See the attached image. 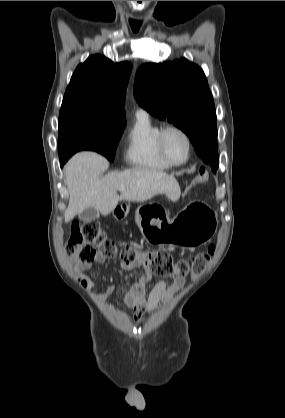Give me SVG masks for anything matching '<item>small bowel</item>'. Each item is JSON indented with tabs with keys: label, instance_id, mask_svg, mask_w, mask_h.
<instances>
[{
	"label": "small bowel",
	"instance_id": "1",
	"mask_svg": "<svg viewBox=\"0 0 285 418\" xmlns=\"http://www.w3.org/2000/svg\"><path fill=\"white\" fill-rule=\"evenodd\" d=\"M106 261L105 254L98 253L95 258L96 264H103ZM68 262L72 269L80 274L85 275L92 269V265H83L78 262L77 259L69 257ZM120 266L129 272L139 269L140 272L136 281L130 286L124 288L121 292L123 302L125 306L132 310L134 321L140 320L144 314H149L155 311L159 302L169 299L176 292H178L185 284L186 279L184 277H178L171 281L162 280L156 283L148 295H146V286L152 278L151 263L148 259L141 258L134 262L120 261ZM89 279L88 287L92 288L95 285L94 279ZM115 286L109 285L102 297H108L113 291Z\"/></svg>",
	"mask_w": 285,
	"mask_h": 418
}]
</instances>
